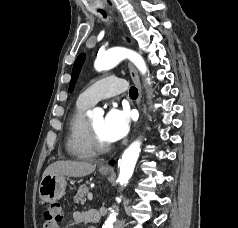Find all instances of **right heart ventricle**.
<instances>
[{"label":"right heart ventricle","instance_id":"obj_1","mask_svg":"<svg viewBox=\"0 0 238 228\" xmlns=\"http://www.w3.org/2000/svg\"><path fill=\"white\" fill-rule=\"evenodd\" d=\"M89 107L78 99L67 121L66 149L77 159L87 160L96 155L90 143L88 121L85 116Z\"/></svg>","mask_w":238,"mask_h":228}]
</instances>
